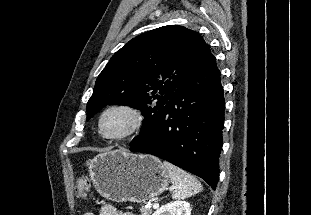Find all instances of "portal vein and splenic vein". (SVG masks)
Masks as SVG:
<instances>
[{
	"label": "portal vein and splenic vein",
	"instance_id": "1",
	"mask_svg": "<svg viewBox=\"0 0 311 215\" xmlns=\"http://www.w3.org/2000/svg\"><path fill=\"white\" fill-rule=\"evenodd\" d=\"M158 207H159V204H158V203H154V204H153V208L156 209V208H158Z\"/></svg>",
	"mask_w": 311,
	"mask_h": 215
}]
</instances>
